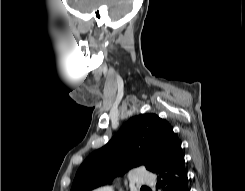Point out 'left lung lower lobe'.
I'll use <instances>...</instances> for the list:
<instances>
[{
  "instance_id": "1",
  "label": "left lung lower lobe",
  "mask_w": 245,
  "mask_h": 191,
  "mask_svg": "<svg viewBox=\"0 0 245 191\" xmlns=\"http://www.w3.org/2000/svg\"><path fill=\"white\" fill-rule=\"evenodd\" d=\"M157 189L161 191H189L185 160L181 148L172 160L158 172Z\"/></svg>"
}]
</instances>
